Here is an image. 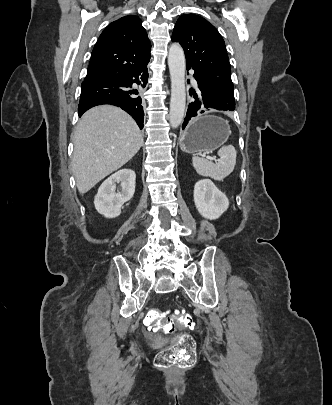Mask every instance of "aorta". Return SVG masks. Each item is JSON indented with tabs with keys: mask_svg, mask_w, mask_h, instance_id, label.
<instances>
[{
	"mask_svg": "<svg viewBox=\"0 0 332 405\" xmlns=\"http://www.w3.org/2000/svg\"><path fill=\"white\" fill-rule=\"evenodd\" d=\"M168 65L171 78L169 122L172 128H177L184 119L186 109L185 55L178 43H173L169 48Z\"/></svg>",
	"mask_w": 332,
	"mask_h": 405,
	"instance_id": "1",
	"label": "aorta"
}]
</instances>
